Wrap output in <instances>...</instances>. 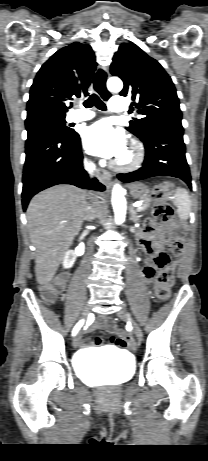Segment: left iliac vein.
<instances>
[{"mask_svg": "<svg viewBox=\"0 0 208 461\" xmlns=\"http://www.w3.org/2000/svg\"><path fill=\"white\" fill-rule=\"evenodd\" d=\"M117 315L122 320L127 321L132 325L136 336L138 337L139 340H141L142 339V330H141L140 326L138 325V323L130 316L128 311L125 308H122L121 310L118 311Z\"/></svg>", "mask_w": 208, "mask_h": 461, "instance_id": "left-iliac-vein-1", "label": "left iliac vein"}]
</instances>
